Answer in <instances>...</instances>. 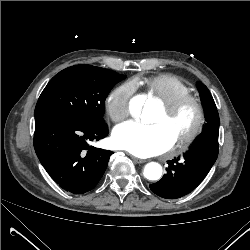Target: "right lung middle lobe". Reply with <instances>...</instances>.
<instances>
[{"label":"right lung middle lobe","instance_id":"right-lung-middle-lobe-1","mask_svg":"<svg viewBox=\"0 0 250 250\" xmlns=\"http://www.w3.org/2000/svg\"><path fill=\"white\" fill-rule=\"evenodd\" d=\"M114 71L75 65L55 75L41 93L34 116L52 115L104 123V102L116 83L125 79Z\"/></svg>","mask_w":250,"mask_h":250}]
</instances>
